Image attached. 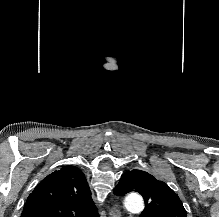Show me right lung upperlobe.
Segmentation results:
<instances>
[{
	"label": "right lung upper lobe",
	"instance_id": "1",
	"mask_svg": "<svg viewBox=\"0 0 219 217\" xmlns=\"http://www.w3.org/2000/svg\"><path fill=\"white\" fill-rule=\"evenodd\" d=\"M21 217H98V214L82 171L76 166H65L35 187Z\"/></svg>",
	"mask_w": 219,
	"mask_h": 217
}]
</instances>
